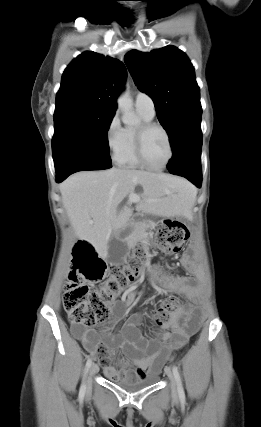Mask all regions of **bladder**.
Instances as JSON below:
<instances>
[{
	"label": "bladder",
	"mask_w": 261,
	"mask_h": 427,
	"mask_svg": "<svg viewBox=\"0 0 261 427\" xmlns=\"http://www.w3.org/2000/svg\"><path fill=\"white\" fill-rule=\"evenodd\" d=\"M157 381L158 375L152 374L144 378L118 379L115 381V385L126 391L134 392L143 388L150 387L154 385Z\"/></svg>",
	"instance_id": "1"
}]
</instances>
